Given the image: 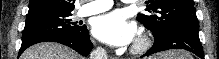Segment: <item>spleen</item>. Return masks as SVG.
Returning a JSON list of instances; mask_svg holds the SVG:
<instances>
[{
  "label": "spleen",
  "mask_w": 219,
  "mask_h": 59,
  "mask_svg": "<svg viewBox=\"0 0 219 59\" xmlns=\"http://www.w3.org/2000/svg\"><path fill=\"white\" fill-rule=\"evenodd\" d=\"M170 59H191L188 53L180 52L179 54H173Z\"/></svg>",
  "instance_id": "1"
}]
</instances>
